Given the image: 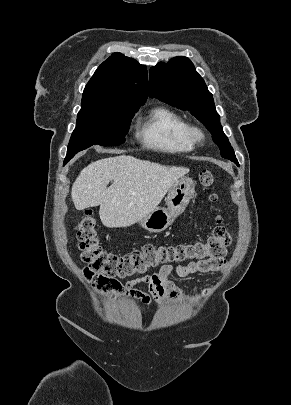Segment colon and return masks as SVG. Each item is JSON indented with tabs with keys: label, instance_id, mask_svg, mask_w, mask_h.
Returning a JSON list of instances; mask_svg holds the SVG:
<instances>
[{
	"label": "colon",
	"instance_id": "obj_1",
	"mask_svg": "<svg viewBox=\"0 0 291 405\" xmlns=\"http://www.w3.org/2000/svg\"><path fill=\"white\" fill-rule=\"evenodd\" d=\"M199 179L205 187H211L215 182V176L209 170L201 171ZM210 200L215 201L216 195L212 194ZM76 231L81 258L87 264L85 277L96 289L111 294L122 292L120 278L144 274L153 268L173 263L221 259L232 242V236L220 217L212 234L205 240L177 244L148 243L122 255L106 252L101 247L92 211L84 213Z\"/></svg>",
	"mask_w": 291,
	"mask_h": 405
}]
</instances>
